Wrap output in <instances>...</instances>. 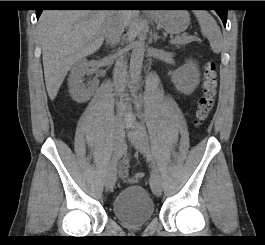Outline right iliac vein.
<instances>
[{
    "mask_svg": "<svg viewBox=\"0 0 265 245\" xmlns=\"http://www.w3.org/2000/svg\"><path fill=\"white\" fill-rule=\"evenodd\" d=\"M123 129H124V124L122 122H119L112 137L114 152L118 151V148L122 143ZM116 179H117V169H116V163H114L109 167V170L105 177V187L108 192H111L113 190Z\"/></svg>",
    "mask_w": 265,
    "mask_h": 245,
    "instance_id": "63e3f726",
    "label": "right iliac vein"
}]
</instances>
